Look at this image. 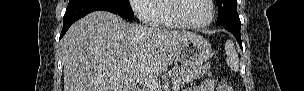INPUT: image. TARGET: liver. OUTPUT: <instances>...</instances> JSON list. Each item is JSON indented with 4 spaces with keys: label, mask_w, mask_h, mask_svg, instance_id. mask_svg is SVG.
<instances>
[{
    "label": "liver",
    "mask_w": 304,
    "mask_h": 91,
    "mask_svg": "<svg viewBox=\"0 0 304 91\" xmlns=\"http://www.w3.org/2000/svg\"><path fill=\"white\" fill-rule=\"evenodd\" d=\"M199 35L130 24L107 11L75 22L61 40L64 91H134L138 78L167 71Z\"/></svg>",
    "instance_id": "1"
}]
</instances>
